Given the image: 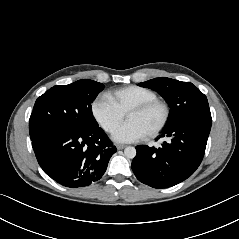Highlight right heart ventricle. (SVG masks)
<instances>
[{"mask_svg": "<svg viewBox=\"0 0 239 239\" xmlns=\"http://www.w3.org/2000/svg\"><path fill=\"white\" fill-rule=\"evenodd\" d=\"M106 96L123 114L134 106L158 99L151 89L136 85L118 88L108 92Z\"/></svg>", "mask_w": 239, "mask_h": 239, "instance_id": "right-heart-ventricle-1", "label": "right heart ventricle"}]
</instances>
